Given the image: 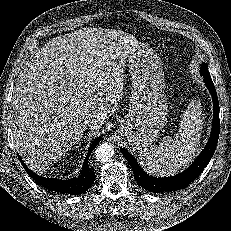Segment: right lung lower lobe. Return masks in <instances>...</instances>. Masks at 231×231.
<instances>
[{
  "instance_id": "obj_1",
  "label": "right lung lower lobe",
  "mask_w": 231,
  "mask_h": 231,
  "mask_svg": "<svg viewBox=\"0 0 231 231\" xmlns=\"http://www.w3.org/2000/svg\"><path fill=\"white\" fill-rule=\"evenodd\" d=\"M101 137L96 138L90 145L88 149L87 156L84 160L83 167L81 170L80 175L77 178L70 179V180H61V179H52V178H45L36 175L31 170L27 168L25 163L20 158V162L23 165L26 172L41 186L44 188L56 191L60 193H67L72 195L82 194L87 191L91 185L94 183L95 175L93 170L88 165V158L97 144L100 142Z\"/></svg>"
}]
</instances>
